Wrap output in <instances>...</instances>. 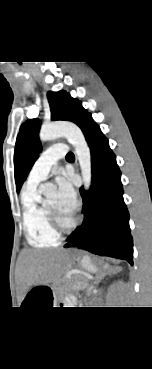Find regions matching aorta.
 I'll list each match as a JSON object with an SVG mask.
<instances>
[{"label":"aorta","instance_id":"obj_1","mask_svg":"<svg viewBox=\"0 0 152 369\" xmlns=\"http://www.w3.org/2000/svg\"><path fill=\"white\" fill-rule=\"evenodd\" d=\"M58 137H65L74 147L80 165L84 188L88 190L92 178L91 153L83 132L77 125L70 122L52 123L41 127L39 133L41 142L53 140ZM40 191L46 196H52L56 191V187L52 183H45L40 186Z\"/></svg>","mask_w":152,"mask_h":369}]
</instances>
